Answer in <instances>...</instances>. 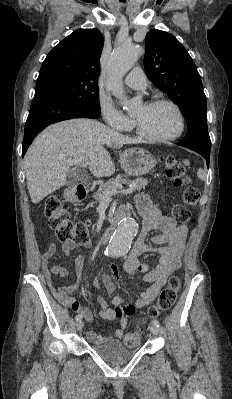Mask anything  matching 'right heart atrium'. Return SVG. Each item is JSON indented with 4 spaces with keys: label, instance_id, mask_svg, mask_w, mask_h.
<instances>
[{
    "label": "right heart atrium",
    "instance_id": "obj_1",
    "mask_svg": "<svg viewBox=\"0 0 232 399\" xmlns=\"http://www.w3.org/2000/svg\"><path fill=\"white\" fill-rule=\"evenodd\" d=\"M101 114L107 125H113V131L123 130L130 125V121L111 106L102 105Z\"/></svg>",
    "mask_w": 232,
    "mask_h": 399
}]
</instances>
